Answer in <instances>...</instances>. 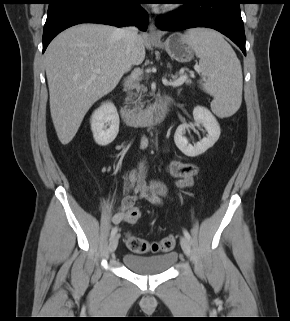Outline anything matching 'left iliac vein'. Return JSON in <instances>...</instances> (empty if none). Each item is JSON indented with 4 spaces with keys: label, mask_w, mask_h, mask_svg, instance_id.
<instances>
[{
    "label": "left iliac vein",
    "mask_w": 290,
    "mask_h": 321,
    "mask_svg": "<svg viewBox=\"0 0 290 321\" xmlns=\"http://www.w3.org/2000/svg\"><path fill=\"white\" fill-rule=\"evenodd\" d=\"M180 243H181V247L183 249V251L185 252V254L190 257L191 255V244L190 241L186 238V237H181L180 239Z\"/></svg>",
    "instance_id": "1"
}]
</instances>
